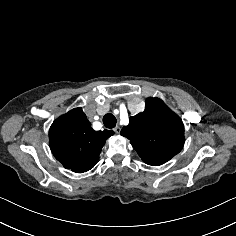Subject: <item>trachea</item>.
Listing matches in <instances>:
<instances>
[{
  "instance_id": "obj_1",
  "label": "trachea",
  "mask_w": 236,
  "mask_h": 236,
  "mask_svg": "<svg viewBox=\"0 0 236 236\" xmlns=\"http://www.w3.org/2000/svg\"><path fill=\"white\" fill-rule=\"evenodd\" d=\"M116 123L117 119L113 114L107 113L106 115H104L103 124L106 128H114L116 126Z\"/></svg>"
}]
</instances>
